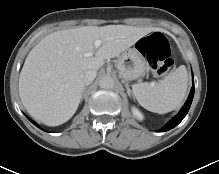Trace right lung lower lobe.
<instances>
[{
  "label": "right lung lower lobe",
  "mask_w": 219,
  "mask_h": 174,
  "mask_svg": "<svg viewBox=\"0 0 219 174\" xmlns=\"http://www.w3.org/2000/svg\"><path fill=\"white\" fill-rule=\"evenodd\" d=\"M32 123H33L34 125H36L37 127H39L38 124H36L35 122L32 121ZM39 128H40V127H39Z\"/></svg>",
  "instance_id": "obj_1"
}]
</instances>
